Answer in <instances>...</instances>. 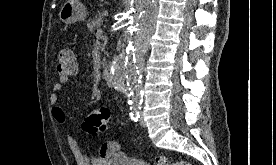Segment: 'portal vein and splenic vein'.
<instances>
[{
    "label": "portal vein and splenic vein",
    "mask_w": 276,
    "mask_h": 165,
    "mask_svg": "<svg viewBox=\"0 0 276 165\" xmlns=\"http://www.w3.org/2000/svg\"><path fill=\"white\" fill-rule=\"evenodd\" d=\"M102 34H103V31L101 29L97 30V34H96L97 38L102 37Z\"/></svg>",
    "instance_id": "1"
}]
</instances>
